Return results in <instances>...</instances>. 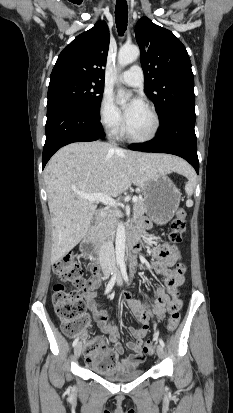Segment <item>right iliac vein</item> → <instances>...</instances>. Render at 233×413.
I'll use <instances>...</instances> for the list:
<instances>
[{
    "mask_svg": "<svg viewBox=\"0 0 233 413\" xmlns=\"http://www.w3.org/2000/svg\"><path fill=\"white\" fill-rule=\"evenodd\" d=\"M82 352V343H78L75 347L74 354L76 358H79Z\"/></svg>",
    "mask_w": 233,
    "mask_h": 413,
    "instance_id": "1",
    "label": "right iliac vein"
}]
</instances>
